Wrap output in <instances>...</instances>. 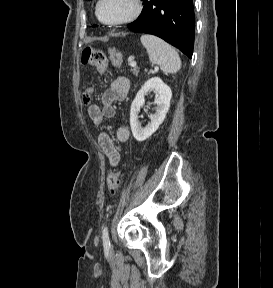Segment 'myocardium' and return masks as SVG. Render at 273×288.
Masks as SVG:
<instances>
[{
  "instance_id": "f54148a6",
  "label": "myocardium",
  "mask_w": 273,
  "mask_h": 288,
  "mask_svg": "<svg viewBox=\"0 0 273 288\" xmlns=\"http://www.w3.org/2000/svg\"><path fill=\"white\" fill-rule=\"evenodd\" d=\"M103 2H104V0H98V2L96 4V8H95V14H96L97 19L101 23H103V24H105L107 26H118V25L130 23V22L136 20L141 15V13L143 11V2H142V0H132V2H133V10L131 11V13H129L125 17L120 18L118 20L105 21L100 16V7H101Z\"/></svg>"
}]
</instances>
